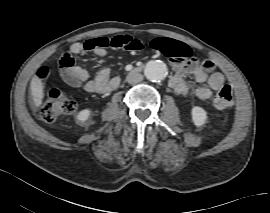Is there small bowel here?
I'll list each match as a JSON object with an SVG mask.
<instances>
[{
  "instance_id": "1",
  "label": "small bowel",
  "mask_w": 270,
  "mask_h": 213,
  "mask_svg": "<svg viewBox=\"0 0 270 213\" xmlns=\"http://www.w3.org/2000/svg\"><path fill=\"white\" fill-rule=\"evenodd\" d=\"M179 44L181 47L179 52L170 56L171 65L175 69V74L170 81L171 87L180 95L185 96L194 93L202 99L210 98L214 91L221 89L228 82L225 74L220 71H213L214 64L212 61H210V69H205L203 66L196 64L193 50L185 44ZM151 46L154 48L153 44ZM140 47L137 40L133 41L131 37L123 35L91 38L68 46L62 52L61 58L72 59L74 55H82L87 51H93L97 58H103L108 50L138 51ZM189 74L199 83V86L195 89H192L185 80V77ZM61 76L70 86L83 87L89 93H108L119 84V78L111 77L107 68L101 69L96 77L91 79L86 69L73 65L69 69L61 68Z\"/></svg>"
}]
</instances>
